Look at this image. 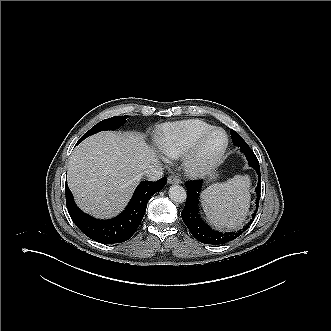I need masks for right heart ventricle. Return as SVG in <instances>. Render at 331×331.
Masks as SVG:
<instances>
[{"mask_svg":"<svg viewBox=\"0 0 331 331\" xmlns=\"http://www.w3.org/2000/svg\"><path fill=\"white\" fill-rule=\"evenodd\" d=\"M213 128L199 119H188L168 123L162 128V136L157 142L160 152L177 158L185 154L199 136Z\"/></svg>","mask_w":331,"mask_h":331,"instance_id":"right-heart-ventricle-1","label":"right heart ventricle"}]
</instances>
